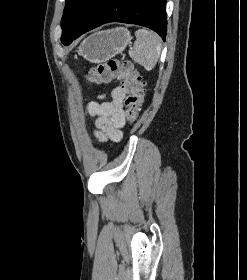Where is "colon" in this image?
I'll list each match as a JSON object with an SVG mask.
<instances>
[{
    "label": "colon",
    "instance_id": "5ec220e1",
    "mask_svg": "<svg viewBox=\"0 0 247 280\" xmlns=\"http://www.w3.org/2000/svg\"><path fill=\"white\" fill-rule=\"evenodd\" d=\"M87 79L92 83L121 82L125 92L126 118L134 123L143 103V82L130 61L110 59L90 70Z\"/></svg>",
    "mask_w": 247,
    "mask_h": 280
}]
</instances>
